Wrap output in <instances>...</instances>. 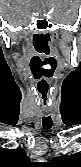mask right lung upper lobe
<instances>
[{"label":"right lung upper lobe","mask_w":81,"mask_h":167,"mask_svg":"<svg viewBox=\"0 0 81 167\" xmlns=\"http://www.w3.org/2000/svg\"><path fill=\"white\" fill-rule=\"evenodd\" d=\"M0 167H34L24 149H0Z\"/></svg>","instance_id":"cb5924a9"}]
</instances>
